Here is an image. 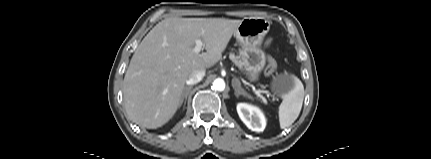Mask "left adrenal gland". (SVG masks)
Here are the masks:
<instances>
[{
    "instance_id": "1",
    "label": "left adrenal gland",
    "mask_w": 431,
    "mask_h": 159,
    "mask_svg": "<svg viewBox=\"0 0 431 159\" xmlns=\"http://www.w3.org/2000/svg\"><path fill=\"white\" fill-rule=\"evenodd\" d=\"M232 86L233 89L235 91V96L238 98L240 95L246 96L248 98H251V96L249 94H247V92L241 88V84L240 81L237 78H233L232 80Z\"/></svg>"
}]
</instances>
